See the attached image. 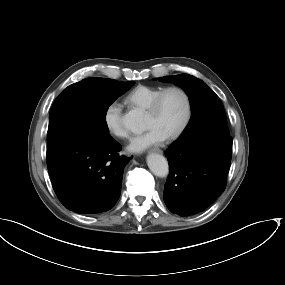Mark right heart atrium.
<instances>
[{"mask_svg": "<svg viewBox=\"0 0 285 285\" xmlns=\"http://www.w3.org/2000/svg\"><path fill=\"white\" fill-rule=\"evenodd\" d=\"M121 114V107L117 103L113 102L106 106L103 114V120L107 131L111 135L119 139H126L129 133L122 123Z\"/></svg>", "mask_w": 285, "mask_h": 285, "instance_id": "right-heart-atrium-1", "label": "right heart atrium"}]
</instances>
